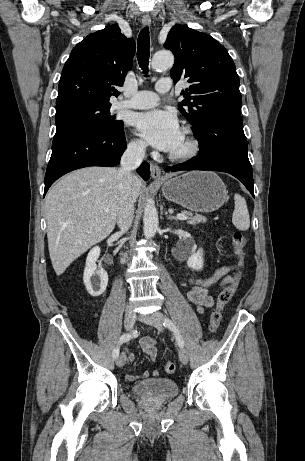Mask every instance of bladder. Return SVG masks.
Returning a JSON list of instances; mask_svg holds the SVG:
<instances>
[{"instance_id":"1","label":"bladder","mask_w":305,"mask_h":461,"mask_svg":"<svg viewBox=\"0 0 305 461\" xmlns=\"http://www.w3.org/2000/svg\"><path fill=\"white\" fill-rule=\"evenodd\" d=\"M132 390L145 398L165 400L176 396L179 387L171 378H150L133 384Z\"/></svg>"}]
</instances>
